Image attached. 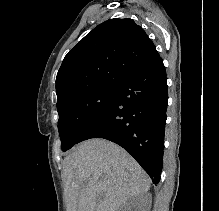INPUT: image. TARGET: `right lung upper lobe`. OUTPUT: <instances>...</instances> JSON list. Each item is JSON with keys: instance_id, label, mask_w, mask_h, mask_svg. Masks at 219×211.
Returning a JSON list of instances; mask_svg holds the SVG:
<instances>
[{"instance_id": "cb5924a9", "label": "right lung upper lobe", "mask_w": 219, "mask_h": 211, "mask_svg": "<svg viewBox=\"0 0 219 211\" xmlns=\"http://www.w3.org/2000/svg\"><path fill=\"white\" fill-rule=\"evenodd\" d=\"M159 54L133 20L110 19L67 53L56 77L57 104L97 86H116Z\"/></svg>"}]
</instances>
